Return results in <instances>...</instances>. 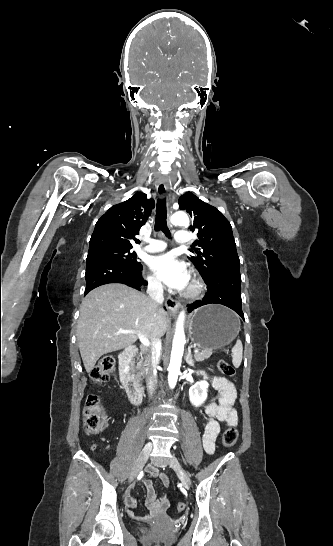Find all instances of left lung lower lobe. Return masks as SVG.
<instances>
[{
  "mask_svg": "<svg viewBox=\"0 0 333 546\" xmlns=\"http://www.w3.org/2000/svg\"><path fill=\"white\" fill-rule=\"evenodd\" d=\"M205 283L207 292L204 298L190 304L189 312L206 304H222L237 312L244 319L241 308L240 271L233 270L217 274Z\"/></svg>",
  "mask_w": 333,
  "mask_h": 546,
  "instance_id": "0a47b994",
  "label": "left lung lower lobe"
}]
</instances>
